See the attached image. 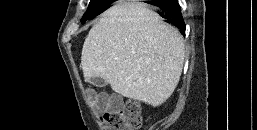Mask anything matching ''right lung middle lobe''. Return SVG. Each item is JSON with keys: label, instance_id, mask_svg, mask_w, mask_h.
I'll use <instances>...</instances> for the list:
<instances>
[{"label": "right lung middle lobe", "instance_id": "1", "mask_svg": "<svg viewBox=\"0 0 257 130\" xmlns=\"http://www.w3.org/2000/svg\"><path fill=\"white\" fill-rule=\"evenodd\" d=\"M112 3V0H91L86 13L81 19V22L84 23L86 20L94 18Z\"/></svg>", "mask_w": 257, "mask_h": 130}]
</instances>
